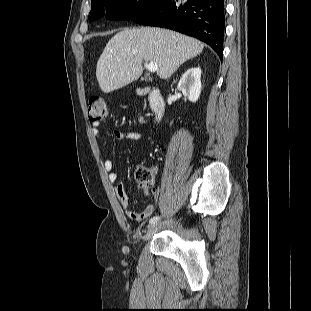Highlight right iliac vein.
Segmentation results:
<instances>
[{"label":"right iliac vein","mask_w":311,"mask_h":311,"mask_svg":"<svg viewBox=\"0 0 311 311\" xmlns=\"http://www.w3.org/2000/svg\"><path fill=\"white\" fill-rule=\"evenodd\" d=\"M172 223V220L165 221L162 223H155L148 227L147 233L144 235L143 239L148 240L157 230L161 229L164 225Z\"/></svg>","instance_id":"63e3f726"}]
</instances>
